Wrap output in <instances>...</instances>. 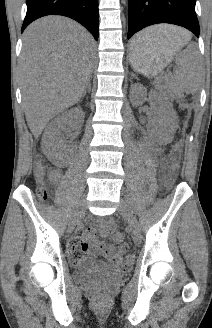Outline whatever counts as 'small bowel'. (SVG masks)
<instances>
[{
	"label": "small bowel",
	"instance_id": "c3829d8e",
	"mask_svg": "<svg viewBox=\"0 0 212 328\" xmlns=\"http://www.w3.org/2000/svg\"><path fill=\"white\" fill-rule=\"evenodd\" d=\"M59 172L53 174V178L57 179ZM99 228L103 234H108L112 225L106 221H99ZM101 249L107 259V262H98L96 264L99 270H121L123 269L121 256L114 253L111 248L97 240V230L95 226H88L81 237L74 238L69 244V256L73 262L82 260L87 254L95 253Z\"/></svg>",
	"mask_w": 212,
	"mask_h": 328
}]
</instances>
